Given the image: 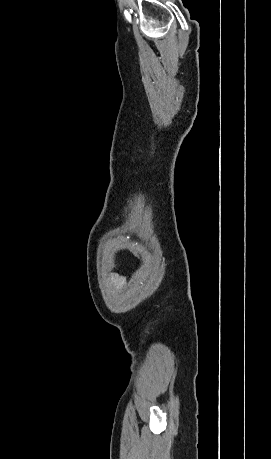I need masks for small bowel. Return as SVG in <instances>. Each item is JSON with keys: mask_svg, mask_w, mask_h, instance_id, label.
Instances as JSON below:
<instances>
[{"mask_svg": "<svg viewBox=\"0 0 271 459\" xmlns=\"http://www.w3.org/2000/svg\"><path fill=\"white\" fill-rule=\"evenodd\" d=\"M113 283L115 288L118 290L124 285V279L116 277L114 278Z\"/></svg>", "mask_w": 271, "mask_h": 459, "instance_id": "c3829d8e", "label": "small bowel"}]
</instances>
